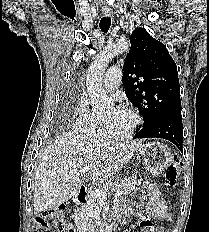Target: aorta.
<instances>
[{"instance_id": "762f6f07", "label": "aorta", "mask_w": 209, "mask_h": 232, "mask_svg": "<svg viewBox=\"0 0 209 232\" xmlns=\"http://www.w3.org/2000/svg\"><path fill=\"white\" fill-rule=\"evenodd\" d=\"M130 44L119 40L103 51L88 67L86 73V86L90 97L92 109L95 112L109 108L113 102L102 86L103 75L109 62L118 54L129 49Z\"/></svg>"}]
</instances>
